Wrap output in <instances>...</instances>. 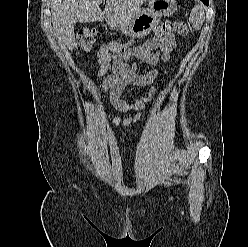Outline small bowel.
<instances>
[{
	"label": "small bowel",
	"mask_w": 248,
	"mask_h": 247,
	"mask_svg": "<svg viewBox=\"0 0 248 247\" xmlns=\"http://www.w3.org/2000/svg\"><path fill=\"white\" fill-rule=\"evenodd\" d=\"M175 47L176 42L172 34L160 37L154 36L142 44H129L125 50L113 52L101 58L98 77L102 78L110 69L112 70V73L105 77L102 83V90L107 94L110 105L123 113L146 108L157 91L156 87L153 88L149 98L134 102L123 100L121 94L127 86L144 87L156 84L158 79L167 72L151 70L146 74H138L137 62L156 65L159 61H162L167 64ZM131 58L135 59L134 63H130ZM142 116L139 113L126 118L109 116V119L116 125L129 128L134 122L140 120Z\"/></svg>",
	"instance_id": "1"
}]
</instances>
